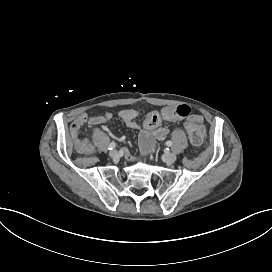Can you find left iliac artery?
Segmentation results:
<instances>
[{"label":"left iliac artery","mask_w":272,"mask_h":272,"mask_svg":"<svg viewBox=\"0 0 272 272\" xmlns=\"http://www.w3.org/2000/svg\"><path fill=\"white\" fill-rule=\"evenodd\" d=\"M166 145L170 147V146L172 145V142H171L170 140H168V141L166 142Z\"/></svg>","instance_id":"44dca946"}]
</instances>
